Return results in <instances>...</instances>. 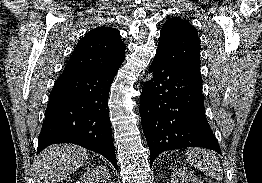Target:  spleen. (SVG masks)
Here are the masks:
<instances>
[{"mask_svg": "<svg viewBox=\"0 0 262 183\" xmlns=\"http://www.w3.org/2000/svg\"><path fill=\"white\" fill-rule=\"evenodd\" d=\"M189 164L201 170L206 175L216 179H222L223 172L218 159L211 151L201 148H191L186 151Z\"/></svg>", "mask_w": 262, "mask_h": 183, "instance_id": "spleen-1", "label": "spleen"}]
</instances>
